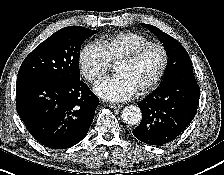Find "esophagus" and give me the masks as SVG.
<instances>
[{
    "instance_id": "34e87169",
    "label": "esophagus",
    "mask_w": 224,
    "mask_h": 175,
    "mask_svg": "<svg viewBox=\"0 0 224 175\" xmlns=\"http://www.w3.org/2000/svg\"><path fill=\"white\" fill-rule=\"evenodd\" d=\"M108 105L113 109H121L123 107L122 104H116V103H108Z\"/></svg>"
}]
</instances>
